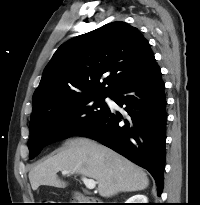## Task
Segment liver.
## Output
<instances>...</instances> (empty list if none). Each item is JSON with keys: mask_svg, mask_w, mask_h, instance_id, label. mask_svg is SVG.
<instances>
[{"mask_svg": "<svg viewBox=\"0 0 200 205\" xmlns=\"http://www.w3.org/2000/svg\"><path fill=\"white\" fill-rule=\"evenodd\" d=\"M59 171H69L96 180L102 197L143 190L149 185L142 168L86 138L67 140L60 152L34 166L29 172L32 189L37 190L41 185L66 187V183L57 176Z\"/></svg>", "mask_w": 200, "mask_h": 205, "instance_id": "obj_1", "label": "liver"}]
</instances>
